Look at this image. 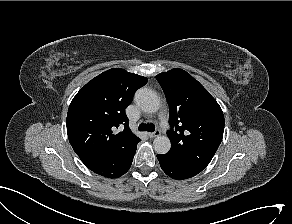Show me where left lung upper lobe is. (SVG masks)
<instances>
[{"mask_svg": "<svg viewBox=\"0 0 292 224\" xmlns=\"http://www.w3.org/2000/svg\"><path fill=\"white\" fill-rule=\"evenodd\" d=\"M169 104L171 148L166 156L201 172L223 137L224 116L209 92L186 71L175 68L156 76Z\"/></svg>", "mask_w": 292, "mask_h": 224, "instance_id": "left-lung-upper-lobe-1", "label": "left lung upper lobe"}]
</instances>
